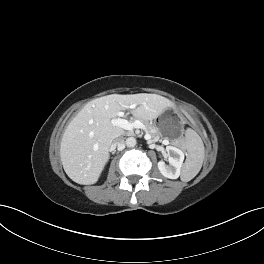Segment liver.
Segmentation results:
<instances>
[{"instance_id": "6515ba94", "label": "liver", "mask_w": 264, "mask_h": 264, "mask_svg": "<svg viewBox=\"0 0 264 264\" xmlns=\"http://www.w3.org/2000/svg\"><path fill=\"white\" fill-rule=\"evenodd\" d=\"M135 105L133 115L151 120L161 115L172 102L157 94H112L86 104L67 126L60 145L64 171L82 185L95 184L109 160L112 141L124 134L112 123L117 113Z\"/></svg>"}]
</instances>
